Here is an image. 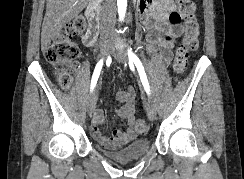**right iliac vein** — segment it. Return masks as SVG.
<instances>
[{
	"label": "right iliac vein",
	"mask_w": 244,
	"mask_h": 179,
	"mask_svg": "<svg viewBox=\"0 0 244 179\" xmlns=\"http://www.w3.org/2000/svg\"><path fill=\"white\" fill-rule=\"evenodd\" d=\"M109 47H110V42H107V43L102 45L101 50H100V56L101 57H104V58L106 57L108 50H109ZM97 94H98V91H97V88H95L94 90H92L90 97H89V100H88V103H87L88 113L90 116L93 113V111L96 107V104H97Z\"/></svg>",
	"instance_id": "1"
}]
</instances>
